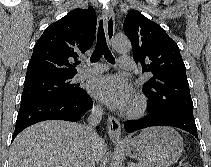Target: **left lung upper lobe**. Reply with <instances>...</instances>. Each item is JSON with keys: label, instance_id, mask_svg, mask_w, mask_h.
<instances>
[{"label": "left lung upper lobe", "instance_id": "5c2ea615", "mask_svg": "<svg viewBox=\"0 0 211 167\" xmlns=\"http://www.w3.org/2000/svg\"><path fill=\"white\" fill-rule=\"evenodd\" d=\"M124 31L131 41L133 58L142 72L153 76L144 83L153 114L178 112L193 117V102L179 47L157 23L139 11L127 14Z\"/></svg>", "mask_w": 211, "mask_h": 167}]
</instances>
